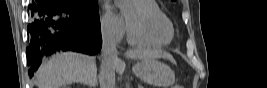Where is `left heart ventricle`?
<instances>
[{"mask_svg":"<svg viewBox=\"0 0 267 88\" xmlns=\"http://www.w3.org/2000/svg\"><path fill=\"white\" fill-rule=\"evenodd\" d=\"M125 12H126V15H128L129 18L135 23H140L147 27L154 26V22L148 17V15L136 9L133 4H130L126 8Z\"/></svg>","mask_w":267,"mask_h":88,"instance_id":"obj_1","label":"left heart ventricle"}]
</instances>
